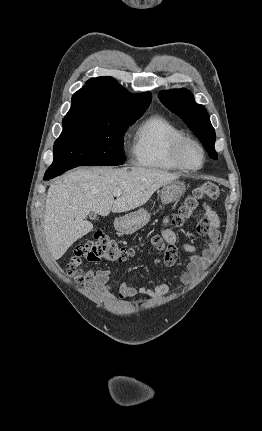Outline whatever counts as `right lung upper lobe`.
I'll use <instances>...</instances> for the list:
<instances>
[{"instance_id":"cb5924a9","label":"right lung upper lobe","mask_w":262,"mask_h":431,"mask_svg":"<svg viewBox=\"0 0 262 431\" xmlns=\"http://www.w3.org/2000/svg\"><path fill=\"white\" fill-rule=\"evenodd\" d=\"M151 99L150 92L130 94L112 77L91 78L74 93L71 109L62 123L141 117Z\"/></svg>"}]
</instances>
